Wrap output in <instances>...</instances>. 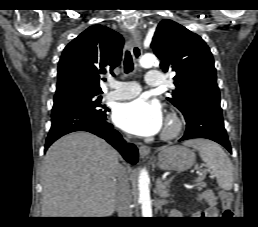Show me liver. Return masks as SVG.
<instances>
[{
  "instance_id": "obj_1",
  "label": "liver",
  "mask_w": 258,
  "mask_h": 227,
  "mask_svg": "<svg viewBox=\"0 0 258 227\" xmlns=\"http://www.w3.org/2000/svg\"><path fill=\"white\" fill-rule=\"evenodd\" d=\"M119 166L116 150L93 134L74 132L60 138L42 163V217L113 214Z\"/></svg>"
}]
</instances>
